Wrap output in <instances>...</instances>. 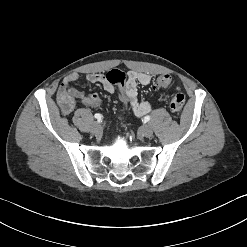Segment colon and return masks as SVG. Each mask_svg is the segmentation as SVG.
I'll use <instances>...</instances> for the list:
<instances>
[{"label": "colon", "mask_w": 247, "mask_h": 247, "mask_svg": "<svg viewBox=\"0 0 247 247\" xmlns=\"http://www.w3.org/2000/svg\"><path fill=\"white\" fill-rule=\"evenodd\" d=\"M107 80L116 85L117 98L122 109L127 110L130 108L131 103L129 101L128 90H127V76L124 72L114 69L107 73ZM171 82L169 75H162L156 81V89L166 88ZM63 109H67L71 100L68 97L62 98L59 101ZM185 104V97L182 93L175 94L170 100V108L176 113L180 114Z\"/></svg>", "instance_id": "1"}]
</instances>
